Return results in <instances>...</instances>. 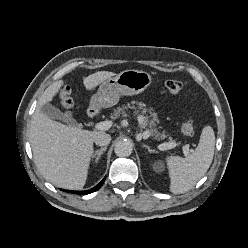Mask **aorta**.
<instances>
[{"instance_id":"762f6f07","label":"aorta","mask_w":248,"mask_h":248,"mask_svg":"<svg viewBox=\"0 0 248 248\" xmlns=\"http://www.w3.org/2000/svg\"><path fill=\"white\" fill-rule=\"evenodd\" d=\"M132 144L129 141L121 140L116 143L114 151L119 157H127L132 153Z\"/></svg>"}]
</instances>
